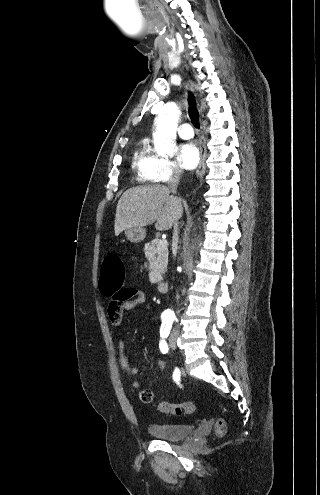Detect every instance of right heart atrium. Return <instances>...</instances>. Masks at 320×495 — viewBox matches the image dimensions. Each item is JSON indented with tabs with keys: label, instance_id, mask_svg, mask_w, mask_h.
Instances as JSON below:
<instances>
[{
	"label": "right heart atrium",
	"instance_id": "d8ad5b80",
	"mask_svg": "<svg viewBox=\"0 0 320 495\" xmlns=\"http://www.w3.org/2000/svg\"><path fill=\"white\" fill-rule=\"evenodd\" d=\"M181 174L180 166L168 158L151 156L150 178L154 182H167Z\"/></svg>",
	"mask_w": 320,
	"mask_h": 495
}]
</instances>
